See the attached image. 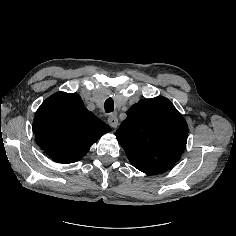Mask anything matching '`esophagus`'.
<instances>
[{
  "mask_svg": "<svg viewBox=\"0 0 236 236\" xmlns=\"http://www.w3.org/2000/svg\"><path fill=\"white\" fill-rule=\"evenodd\" d=\"M108 123L110 124L111 127L117 128L118 123H119L117 116L116 115H110L108 117Z\"/></svg>",
  "mask_w": 236,
  "mask_h": 236,
  "instance_id": "34e87169",
  "label": "esophagus"
}]
</instances>
